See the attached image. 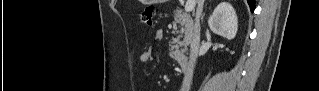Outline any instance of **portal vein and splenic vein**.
<instances>
[{"instance_id": "portal-vein-and-splenic-vein-1", "label": "portal vein and splenic vein", "mask_w": 319, "mask_h": 91, "mask_svg": "<svg viewBox=\"0 0 319 91\" xmlns=\"http://www.w3.org/2000/svg\"><path fill=\"white\" fill-rule=\"evenodd\" d=\"M195 1L194 0H187L185 5V11L186 12H192L195 8Z\"/></svg>"}]
</instances>
